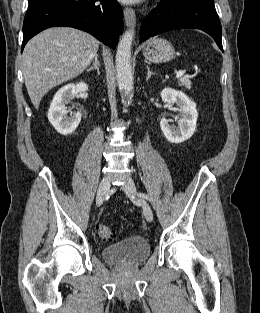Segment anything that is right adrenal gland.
Wrapping results in <instances>:
<instances>
[{
  "label": "right adrenal gland",
  "instance_id": "right-adrenal-gland-1",
  "mask_svg": "<svg viewBox=\"0 0 260 313\" xmlns=\"http://www.w3.org/2000/svg\"><path fill=\"white\" fill-rule=\"evenodd\" d=\"M99 67H100V61H99V57L98 55L96 54L95 57H94V63L92 66L89 67V69H87V71H91V70H97V73L99 74Z\"/></svg>",
  "mask_w": 260,
  "mask_h": 313
}]
</instances>
